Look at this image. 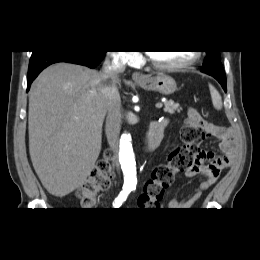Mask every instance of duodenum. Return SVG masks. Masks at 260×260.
<instances>
[{"label":"duodenum","instance_id":"1","mask_svg":"<svg viewBox=\"0 0 260 260\" xmlns=\"http://www.w3.org/2000/svg\"><path fill=\"white\" fill-rule=\"evenodd\" d=\"M165 125V122L161 120L150 123L149 130L142 142V148L145 152H152L159 146L163 138Z\"/></svg>","mask_w":260,"mask_h":260}]
</instances>
